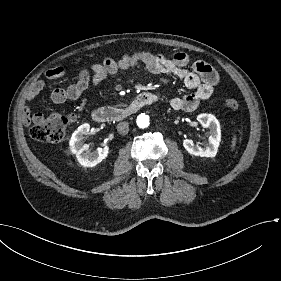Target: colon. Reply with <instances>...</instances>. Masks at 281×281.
Returning a JSON list of instances; mask_svg holds the SVG:
<instances>
[{"mask_svg": "<svg viewBox=\"0 0 281 281\" xmlns=\"http://www.w3.org/2000/svg\"><path fill=\"white\" fill-rule=\"evenodd\" d=\"M224 103L228 108L231 109H236L239 106L238 100L233 97L225 98ZM68 122L69 121L67 117L61 114L42 118L40 120L34 121L30 125V135L32 138L40 142H60L65 136Z\"/></svg>", "mask_w": 281, "mask_h": 281, "instance_id": "colon-1", "label": "colon"}]
</instances>
